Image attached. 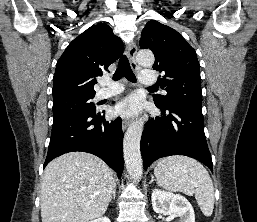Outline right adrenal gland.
<instances>
[{"mask_svg":"<svg viewBox=\"0 0 257 222\" xmlns=\"http://www.w3.org/2000/svg\"><path fill=\"white\" fill-rule=\"evenodd\" d=\"M115 197H116V188L114 189V191L112 193V197L110 199V202H111L112 198L115 199Z\"/></svg>","mask_w":257,"mask_h":222,"instance_id":"1","label":"right adrenal gland"}]
</instances>
